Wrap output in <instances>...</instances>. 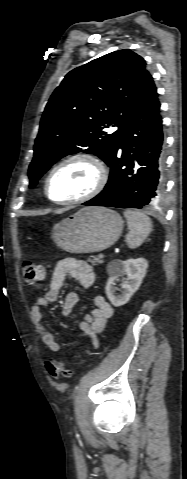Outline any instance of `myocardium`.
Instances as JSON below:
<instances>
[{"instance_id":"1","label":"myocardium","mask_w":187,"mask_h":479,"mask_svg":"<svg viewBox=\"0 0 187 479\" xmlns=\"http://www.w3.org/2000/svg\"><path fill=\"white\" fill-rule=\"evenodd\" d=\"M73 161H85L88 162L92 165V167L95 170V182L92 188L85 193L84 195H81L77 198L70 199V200H64V201H58L54 200L51 198L49 194V183L53 177V175L63 166L66 164L73 162ZM107 170L103 162L95 155L91 153H86V152H78L71 154L65 158H63L61 161H59L48 173L45 182H44V194L46 198L51 201L52 203L59 204V205H74V204H80L87 202L94 197H96L98 194L101 193V191L104 189L106 183H107Z\"/></svg>"}]
</instances>
